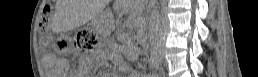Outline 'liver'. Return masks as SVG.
Instances as JSON below:
<instances>
[{
    "label": "liver",
    "instance_id": "liver-1",
    "mask_svg": "<svg viewBox=\"0 0 258 77\" xmlns=\"http://www.w3.org/2000/svg\"><path fill=\"white\" fill-rule=\"evenodd\" d=\"M57 4L59 5V21L67 29L74 28L91 18L97 17L103 9L102 3L84 0H58ZM64 14L69 19L61 17Z\"/></svg>",
    "mask_w": 258,
    "mask_h": 77
}]
</instances>
